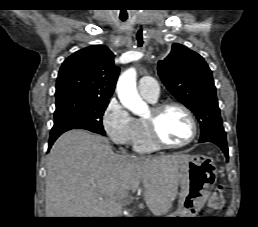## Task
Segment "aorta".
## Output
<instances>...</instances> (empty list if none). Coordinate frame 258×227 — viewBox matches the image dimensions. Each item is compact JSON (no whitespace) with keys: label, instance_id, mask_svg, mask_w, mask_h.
Instances as JSON below:
<instances>
[{"label":"aorta","instance_id":"aorta-1","mask_svg":"<svg viewBox=\"0 0 258 227\" xmlns=\"http://www.w3.org/2000/svg\"><path fill=\"white\" fill-rule=\"evenodd\" d=\"M137 73L134 68L124 71L117 82V95L122 105L135 115H142L147 104L141 99L136 88Z\"/></svg>","mask_w":258,"mask_h":227}]
</instances>
